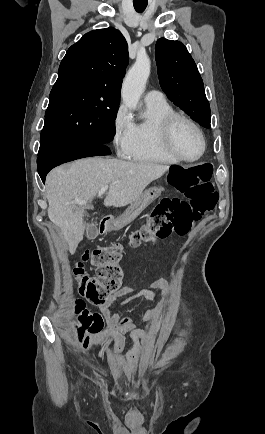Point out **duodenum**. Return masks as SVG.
Returning a JSON list of instances; mask_svg holds the SVG:
<instances>
[{"label":"duodenum","mask_w":265,"mask_h":434,"mask_svg":"<svg viewBox=\"0 0 265 434\" xmlns=\"http://www.w3.org/2000/svg\"><path fill=\"white\" fill-rule=\"evenodd\" d=\"M109 223H110V221L109 220H107L106 218H102L100 221H99V229H101V231H107V230H109V228H108V226H109Z\"/></svg>","instance_id":"obj_1"}]
</instances>
